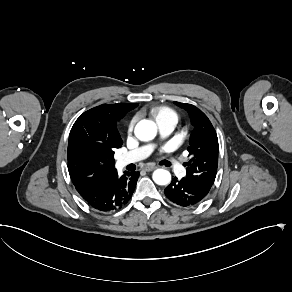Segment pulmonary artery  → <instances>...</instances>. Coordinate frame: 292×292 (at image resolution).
<instances>
[{
  "label": "pulmonary artery",
  "mask_w": 292,
  "mask_h": 292,
  "mask_svg": "<svg viewBox=\"0 0 292 292\" xmlns=\"http://www.w3.org/2000/svg\"><path fill=\"white\" fill-rule=\"evenodd\" d=\"M177 122L178 120L175 117L161 115L158 120V125L160 128L159 135L154 139V141L147 146L136 149L133 152L121 155L118 158L117 163L119 165H124L129 161L139 159L143 156H149L162 145H168L170 143L169 133L174 130ZM162 154L173 168L180 169L182 167V162L171 152L169 147H164L162 149Z\"/></svg>",
  "instance_id": "1"
}]
</instances>
